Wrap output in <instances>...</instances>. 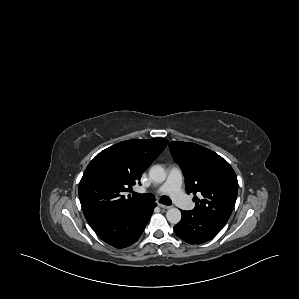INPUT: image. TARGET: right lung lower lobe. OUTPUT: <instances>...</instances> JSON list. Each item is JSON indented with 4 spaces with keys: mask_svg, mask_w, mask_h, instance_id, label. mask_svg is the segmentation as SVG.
I'll use <instances>...</instances> for the list:
<instances>
[{
    "mask_svg": "<svg viewBox=\"0 0 299 299\" xmlns=\"http://www.w3.org/2000/svg\"><path fill=\"white\" fill-rule=\"evenodd\" d=\"M156 204L142 203L99 221L91 227L107 244L124 248L135 243L145 229Z\"/></svg>",
    "mask_w": 299,
    "mask_h": 299,
    "instance_id": "obj_1",
    "label": "right lung lower lobe"
}]
</instances>
